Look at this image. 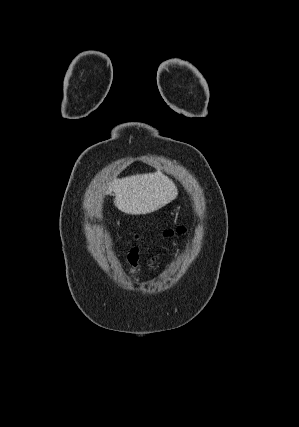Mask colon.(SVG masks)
<instances>
[{
	"instance_id": "obj_1",
	"label": "colon",
	"mask_w": 299,
	"mask_h": 427,
	"mask_svg": "<svg viewBox=\"0 0 299 427\" xmlns=\"http://www.w3.org/2000/svg\"><path fill=\"white\" fill-rule=\"evenodd\" d=\"M184 230H185V228L181 226V227H178L176 230H173V229L167 230V231H165V234L168 236H172L175 233H182V232H184Z\"/></svg>"
}]
</instances>
